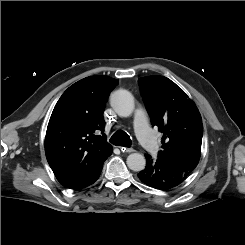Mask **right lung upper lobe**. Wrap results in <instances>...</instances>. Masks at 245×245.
I'll list each match as a JSON object with an SVG mask.
<instances>
[{"instance_id": "right-lung-upper-lobe-1", "label": "right lung upper lobe", "mask_w": 245, "mask_h": 245, "mask_svg": "<svg viewBox=\"0 0 245 245\" xmlns=\"http://www.w3.org/2000/svg\"><path fill=\"white\" fill-rule=\"evenodd\" d=\"M118 80L91 76L70 86L50 117L45 154L57 180L69 187L112 154L106 141L103 110Z\"/></svg>"}]
</instances>
